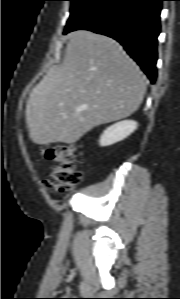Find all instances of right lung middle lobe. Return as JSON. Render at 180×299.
Returning a JSON list of instances; mask_svg holds the SVG:
<instances>
[{"label": "right lung middle lobe", "mask_w": 180, "mask_h": 299, "mask_svg": "<svg viewBox=\"0 0 180 299\" xmlns=\"http://www.w3.org/2000/svg\"><path fill=\"white\" fill-rule=\"evenodd\" d=\"M72 2L70 17L67 21L66 27L71 26L78 19L90 12L94 7L104 0H69Z\"/></svg>", "instance_id": "1"}]
</instances>
